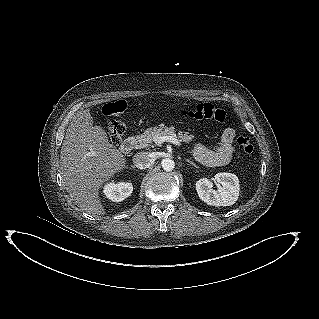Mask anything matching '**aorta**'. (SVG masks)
<instances>
[{
	"mask_svg": "<svg viewBox=\"0 0 319 319\" xmlns=\"http://www.w3.org/2000/svg\"><path fill=\"white\" fill-rule=\"evenodd\" d=\"M161 164L165 171H172L175 168V162L170 158L163 159Z\"/></svg>",
	"mask_w": 319,
	"mask_h": 319,
	"instance_id": "aorta-1",
	"label": "aorta"
}]
</instances>
